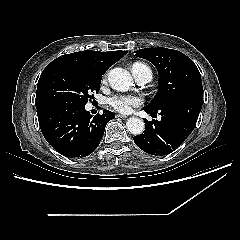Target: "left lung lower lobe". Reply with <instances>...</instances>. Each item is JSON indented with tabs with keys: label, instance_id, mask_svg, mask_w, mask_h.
Returning <instances> with one entry per match:
<instances>
[{
	"label": "left lung lower lobe",
	"instance_id": "1",
	"mask_svg": "<svg viewBox=\"0 0 240 240\" xmlns=\"http://www.w3.org/2000/svg\"><path fill=\"white\" fill-rule=\"evenodd\" d=\"M203 104V94L188 95L170 102L159 111L160 121H145L144 133L135 144L148 154L165 155L174 151L193 131ZM147 113L157 111L144 107Z\"/></svg>",
	"mask_w": 240,
	"mask_h": 240
}]
</instances>
